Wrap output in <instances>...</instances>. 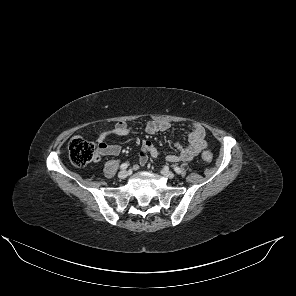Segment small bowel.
Here are the masks:
<instances>
[{
    "label": "small bowel",
    "instance_id": "small-bowel-1",
    "mask_svg": "<svg viewBox=\"0 0 296 296\" xmlns=\"http://www.w3.org/2000/svg\"><path fill=\"white\" fill-rule=\"evenodd\" d=\"M170 124L161 120H150L146 125L148 134H155L168 130ZM131 133L130 126L124 122H118L114 128L105 129L97 139L99 154L102 156H115L121 152V147L117 144H107L106 140L111 135L126 136ZM205 129L201 125H194L188 133V146H183L180 141H175L178 150L176 155H168L166 160L169 162H185L192 160L199 152L206 149ZM159 153L155 145L150 140H144L141 146V153L134 169H139L148 163L149 157L156 159Z\"/></svg>",
    "mask_w": 296,
    "mask_h": 296
}]
</instances>
